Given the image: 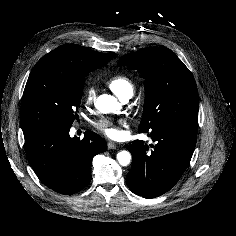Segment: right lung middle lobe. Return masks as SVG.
Returning <instances> with one entry per match:
<instances>
[{
    "mask_svg": "<svg viewBox=\"0 0 236 236\" xmlns=\"http://www.w3.org/2000/svg\"><path fill=\"white\" fill-rule=\"evenodd\" d=\"M97 68L53 70L33 68L21 102V126L70 128L78 119L77 107L82 98L85 76Z\"/></svg>",
    "mask_w": 236,
    "mask_h": 236,
    "instance_id": "obj_1",
    "label": "right lung middle lobe"
}]
</instances>
